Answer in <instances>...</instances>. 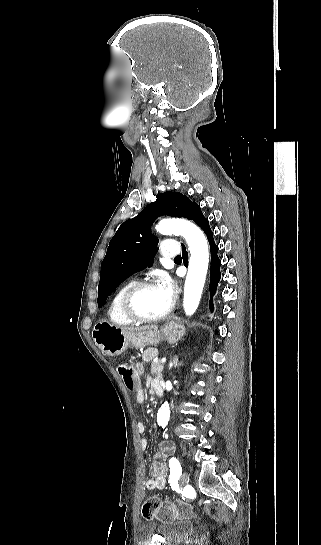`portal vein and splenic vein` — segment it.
Segmentation results:
<instances>
[{
  "label": "portal vein and splenic vein",
  "instance_id": "1",
  "mask_svg": "<svg viewBox=\"0 0 321 545\" xmlns=\"http://www.w3.org/2000/svg\"><path fill=\"white\" fill-rule=\"evenodd\" d=\"M161 364H166V357H162Z\"/></svg>",
  "mask_w": 321,
  "mask_h": 545
}]
</instances>
